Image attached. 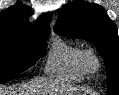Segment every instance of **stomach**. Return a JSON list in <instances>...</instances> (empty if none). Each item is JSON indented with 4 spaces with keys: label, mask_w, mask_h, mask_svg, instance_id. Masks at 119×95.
<instances>
[{
    "label": "stomach",
    "mask_w": 119,
    "mask_h": 95,
    "mask_svg": "<svg viewBox=\"0 0 119 95\" xmlns=\"http://www.w3.org/2000/svg\"><path fill=\"white\" fill-rule=\"evenodd\" d=\"M75 95H85V94H79V93H77V94H75Z\"/></svg>",
    "instance_id": "0dacf381"
}]
</instances>
